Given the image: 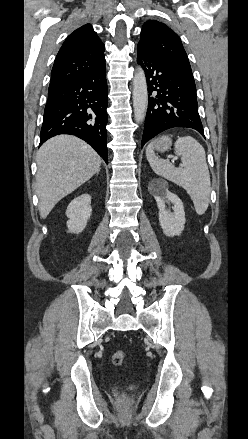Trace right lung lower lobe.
<instances>
[{
	"mask_svg": "<svg viewBox=\"0 0 248 439\" xmlns=\"http://www.w3.org/2000/svg\"><path fill=\"white\" fill-rule=\"evenodd\" d=\"M107 105L105 64L49 91L40 146L55 135L71 134L90 144L108 163Z\"/></svg>",
	"mask_w": 248,
	"mask_h": 439,
	"instance_id": "right-lung-lower-lobe-1",
	"label": "right lung lower lobe"
}]
</instances>
